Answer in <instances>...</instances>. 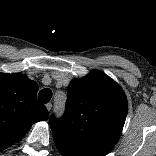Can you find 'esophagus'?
<instances>
[{
	"label": "esophagus",
	"instance_id": "obj_1",
	"mask_svg": "<svg viewBox=\"0 0 156 156\" xmlns=\"http://www.w3.org/2000/svg\"><path fill=\"white\" fill-rule=\"evenodd\" d=\"M46 108L50 112L52 109V104L51 103L46 104Z\"/></svg>",
	"mask_w": 156,
	"mask_h": 156
}]
</instances>
